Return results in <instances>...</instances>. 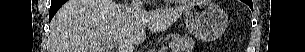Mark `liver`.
<instances>
[{
	"label": "liver",
	"instance_id": "obj_1",
	"mask_svg": "<svg viewBox=\"0 0 305 52\" xmlns=\"http://www.w3.org/2000/svg\"><path fill=\"white\" fill-rule=\"evenodd\" d=\"M191 6L147 12L113 0H69L51 21L50 52H112L127 43L140 44L146 28L152 33L166 30Z\"/></svg>",
	"mask_w": 305,
	"mask_h": 52
}]
</instances>
